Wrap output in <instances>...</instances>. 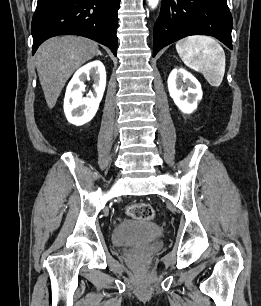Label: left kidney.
Segmentation results:
<instances>
[{
	"label": "left kidney",
	"instance_id": "obj_1",
	"mask_svg": "<svg viewBox=\"0 0 261 306\" xmlns=\"http://www.w3.org/2000/svg\"><path fill=\"white\" fill-rule=\"evenodd\" d=\"M167 83L171 98L183 113L191 114L197 109L203 93L200 83L193 75L182 68L173 69Z\"/></svg>",
	"mask_w": 261,
	"mask_h": 306
}]
</instances>
